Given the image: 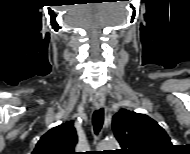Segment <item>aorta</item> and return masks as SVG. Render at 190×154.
I'll return each mask as SVG.
<instances>
[{"label":"aorta","instance_id":"obj_1","mask_svg":"<svg viewBox=\"0 0 190 154\" xmlns=\"http://www.w3.org/2000/svg\"><path fill=\"white\" fill-rule=\"evenodd\" d=\"M119 147L117 140L106 139L99 144V149L103 150H116Z\"/></svg>","mask_w":190,"mask_h":154}]
</instances>
